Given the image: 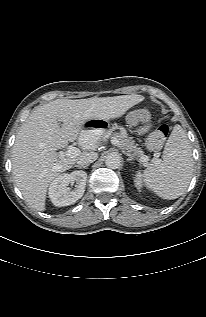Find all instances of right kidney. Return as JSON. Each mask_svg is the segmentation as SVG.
<instances>
[{
	"label": "right kidney",
	"instance_id": "obj_1",
	"mask_svg": "<svg viewBox=\"0 0 206 317\" xmlns=\"http://www.w3.org/2000/svg\"><path fill=\"white\" fill-rule=\"evenodd\" d=\"M87 173L84 171H73L64 173L55 178L49 187V197L55 206H68L79 200L85 191ZM76 183L75 189L70 191L69 184Z\"/></svg>",
	"mask_w": 206,
	"mask_h": 317
}]
</instances>
